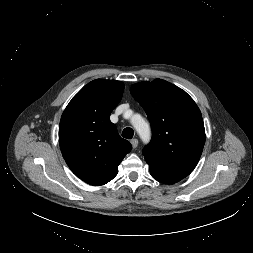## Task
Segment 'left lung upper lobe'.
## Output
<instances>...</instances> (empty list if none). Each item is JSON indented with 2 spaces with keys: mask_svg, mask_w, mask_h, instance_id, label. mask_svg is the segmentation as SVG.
Returning <instances> with one entry per match:
<instances>
[{
  "mask_svg": "<svg viewBox=\"0 0 253 253\" xmlns=\"http://www.w3.org/2000/svg\"><path fill=\"white\" fill-rule=\"evenodd\" d=\"M130 92L151 124L152 140L143 150L150 169L187 177L205 143L204 123L196 103L184 90L162 79L136 83Z\"/></svg>",
  "mask_w": 253,
  "mask_h": 253,
  "instance_id": "5c2ea615",
  "label": "left lung upper lobe"
}]
</instances>
